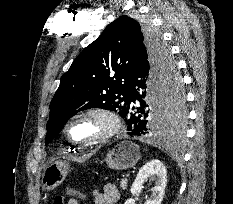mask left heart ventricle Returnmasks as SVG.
<instances>
[{"instance_id":"left-heart-ventricle-1","label":"left heart ventricle","mask_w":233,"mask_h":204,"mask_svg":"<svg viewBox=\"0 0 233 204\" xmlns=\"http://www.w3.org/2000/svg\"><path fill=\"white\" fill-rule=\"evenodd\" d=\"M107 124L99 118H82L75 121L70 127V135L75 140H89L102 134Z\"/></svg>"}]
</instances>
